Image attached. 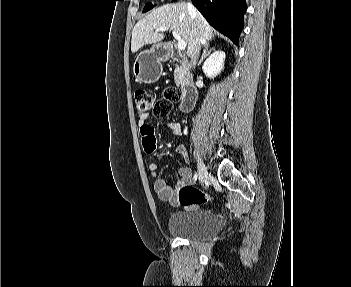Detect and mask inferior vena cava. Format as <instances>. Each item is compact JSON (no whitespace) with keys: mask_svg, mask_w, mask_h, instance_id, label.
Instances as JSON below:
<instances>
[{"mask_svg":"<svg viewBox=\"0 0 351 287\" xmlns=\"http://www.w3.org/2000/svg\"><path fill=\"white\" fill-rule=\"evenodd\" d=\"M187 7H188V10H189V12H190L191 14L197 15V10H196V8L193 6L192 3H188V4H187ZM200 42H201V44H203V39H202V38L200 39ZM200 47H201V45L199 44L198 47H197V49H196V51L194 52V55H193L192 58H191V67H193V68L195 67L196 62H197L198 55H199V52H200Z\"/></svg>","mask_w":351,"mask_h":287,"instance_id":"obj_1","label":"inferior vena cava"}]
</instances>
